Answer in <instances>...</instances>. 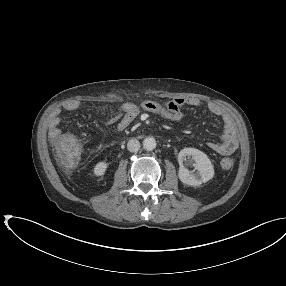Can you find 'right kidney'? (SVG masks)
<instances>
[{
    "instance_id": "ca27d5eb",
    "label": "right kidney",
    "mask_w": 286,
    "mask_h": 286,
    "mask_svg": "<svg viewBox=\"0 0 286 286\" xmlns=\"http://www.w3.org/2000/svg\"><path fill=\"white\" fill-rule=\"evenodd\" d=\"M106 169H107V163L103 161L99 162L94 167V170H93L94 175L97 177L102 176L104 175Z\"/></svg>"
}]
</instances>
